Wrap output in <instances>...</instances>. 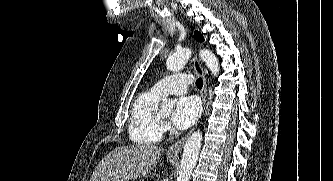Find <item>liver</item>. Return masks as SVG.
I'll list each match as a JSON object with an SVG mask.
<instances>
[{
	"instance_id": "obj_1",
	"label": "liver",
	"mask_w": 333,
	"mask_h": 181,
	"mask_svg": "<svg viewBox=\"0 0 333 181\" xmlns=\"http://www.w3.org/2000/svg\"><path fill=\"white\" fill-rule=\"evenodd\" d=\"M163 152L162 147L152 145L117 147L98 163L90 181H129L146 176Z\"/></svg>"
}]
</instances>
